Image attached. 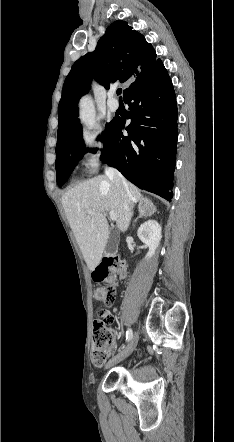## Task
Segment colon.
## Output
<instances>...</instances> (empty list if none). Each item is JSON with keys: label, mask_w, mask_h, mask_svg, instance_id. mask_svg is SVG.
I'll return each instance as SVG.
<instances>
[{"label": "colon", "mask_w": 234, "mask_h": 442, "mask_svg": "<svg viewBox=\"0 0 234 442\" xmlns=\"http://www.w3.org/2000/svg\"><path fill=\"white\" fill-rule=\"evenodd\" d=\"M127 275V266L124 261L117 257L104 258L93 271V279L103 282L104 285L94 290V298L103 304H112L117 295V277L124 278ZM102 314H110L105 310L98 312V319ZM113 328H95L93 336V361L101 366L111 353L114 341Z\"/></svg>", "instance_id": "1"}]
</instances>
